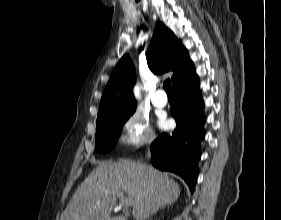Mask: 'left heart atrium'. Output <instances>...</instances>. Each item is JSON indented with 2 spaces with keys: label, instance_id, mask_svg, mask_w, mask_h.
I'll use <instances>...</instances> for the list:
<instances>
[{
  "label": "left heart atrium",
  "instance_id": "39dd6f15",
  "mask_svg": "<svg viewBox=\"0 0 281 220\" xmlns=\"http://www.w3.org/2000/svg\"><path fill=\"white\" fill-rule=\"evenodd\" d=\"M160 126L162 128H168L169 127V123H168V121L165 118H162L161 121H160Z\"/></svg>",
  "mask_w": 281,
  "mask_h": 220
}]
</instances>
